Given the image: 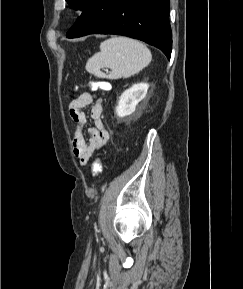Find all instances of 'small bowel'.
Instances as JSON below:
<instances>
[{"instance_id":"1","label":"small bowel","mask_w":243,"mask_h":289,"mask_svg":"<svg viewBox=\"0 0 243 289\" xmlns=\"http://www.w3.org/2000/svg\"><path fill=\"white\" fill-rule=\"evenodd\" d=\"M88 106H91L90 119L93 127L88 129L89 139L86 140L82 127L87 121L83 110ZM102 111L103 99L96 93L84 92L69 105V115L77 125L72 138V149L75 158L81 165H85L109 139V132L102 121Z\"/></svg>"}]
</instances>
